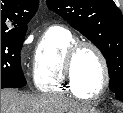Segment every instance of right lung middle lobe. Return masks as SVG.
Returning a JSON list of instances; mask_svg holds the SVG:
<instances>
[{
  "label": "right lung middle lobe",
  "mask_w": 123,
  "mask_h": 113,
  "mask_svg": "<svg viewBox=\"0 0 123 113\" xmlns=\"http://www.w3.org/2000/svg\"><path fill=\"white\" fill-rule=\"evenodd\" d=\"M24 36L1 37V89L26 85L20 62Z\"/></svg>",
  "instance_id": "right-lung-middle-lobe-1"
}]
</instances>
